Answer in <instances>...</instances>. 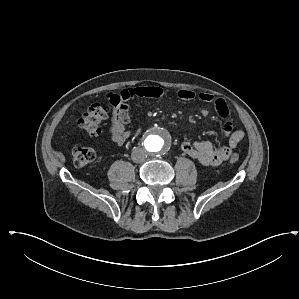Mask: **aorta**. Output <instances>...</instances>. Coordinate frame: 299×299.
<instances>
[{"mask_svg": "<svg viewBox=\"0 0 299 299\" xmlns=\"http://www.w3.org/2000/svg\"><path fill=\"white\" fill-rule=\"evenodd\" d=\"M167 137L159 131H153L144 140V147L150 155H158L166 150Z\"/></svg>", "mask_w": 299, "mask_h": 299, "instance_id": "aorta-1", "label": "aorta"}]
</instances>
